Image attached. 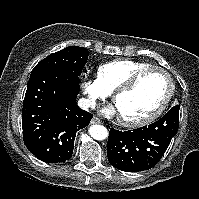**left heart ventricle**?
Segmentation results:
<instances>
[{
	"label": "left heart ventricle",
	"instance_id": "1",
	"mask_svg": "<svg viewBox=\"0 0 199 199\" xmlns=\"http://www.w3.org/2000/svg\"><path fill=\"white\" fill-rule=\"evenodd\" d=\"M169 84L163 73L152 71L144 74L136 86L116 101L120 117L139 119L151 114L163 102Z\"/></svg>",
	"mask_w": 199,
	"mask_h": 199
}]
</instances>
